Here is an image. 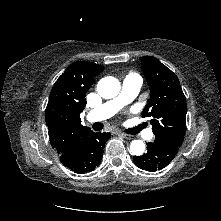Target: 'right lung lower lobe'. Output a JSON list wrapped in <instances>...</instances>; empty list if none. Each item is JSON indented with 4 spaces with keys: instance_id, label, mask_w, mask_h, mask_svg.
<instances>
[{
    "instance_id": "1",
    "label": "right lung lower lobe",
    "mask_w": 221,
    "mask_h": 221,
    "mask_svg": "<svg viewBox=\"0 0 221 221\" xmlns=\"http://www.w3.org/2000/svg\"><path fill=\"white\" fill-rule=\"evenodd\" d=\"M110 137V133L89 132L77 151L60 155L61 163L78 174L93 171L100 164L105 143Z\"/></svg>"
}]
</instances>
